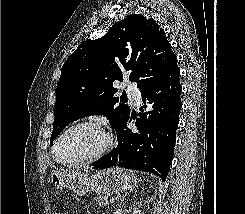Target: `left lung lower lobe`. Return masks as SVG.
I'll return each mask as SVG.
<instances>
[{
	"label": "left lung lower lobe",
	"instance_id": "1",
	"mask_svg": "<svg viewBox=\"0 0 245 214\" xmlns=\"http://www.w3.org/2000/svg\"><path fill=\"white\" fill-rule=\"evenodd\" d=\"M180 69L174 64L165 76L141 92L144 108L150 111L139 114L135 125L137 133L127 128L130 116L118 133V145L94 163V169L118 166L150 172L165 181L172 163L182 87Z\"/></svg>",
	"mask_w": 245,
	"mask_h": 214
}]
</instances>
